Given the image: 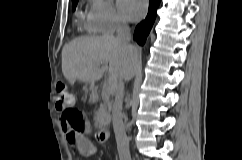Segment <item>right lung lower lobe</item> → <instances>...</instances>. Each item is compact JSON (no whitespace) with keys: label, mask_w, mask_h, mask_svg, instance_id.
<instances>
[{"label":"right lung lower lobe","mask_w":242,"mask_h":160,"mask_svg":"<svg viewBox=\"0 0 242 160\" xmlns=\"http://www.w3.org/2000/svg\"><path fill=\"white\" fill-rule=\"evenodd\" d=\"M161 0H150L148 15L144 21L137 25L134 33V39L140 45H143L146 38L154 24L156 18V11L160 5Z\"/></svg>","instance_id":"right-lung-lower-lobe-1"}]
</instances>
